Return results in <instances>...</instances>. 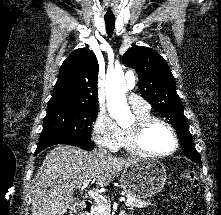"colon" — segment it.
I'll return each mask as SVG.
<instances>
[{
  "label": "colon",
  "instance_id": "5ec220e1",
  "mask_svg": "<svg viewBox=\"0 0 221 215\" xmlns=\"http://www.w3.org/2000/svg\"><path fill=\"white\" fill-rule=\"evenodd\" d=\"M184 180L185 182L191 187L192 191L197 194L199 191V175L197 172L193 169H187L184 172ZM197 206H192L191 213L196 214L197 213Z\"/></svg>",
  "mask_w": 221,
  "mask_h": 215
}]
</instances>
